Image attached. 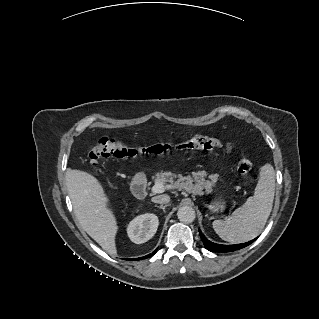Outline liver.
<instances>
[{"label": "liver", "instance_id": "obj_1", "mask_svg": "<svg viewBox=\"0 0 319 319\" xmlns=\"http://www.w3.org/2000/svg\"><path fill=\"white\" fill-rule=\"evenodd\" d=\"M67 187L81 227L103 250L117 254L118 225L113 211L108 208L109 198L100 182L87 172L70 170Z\"/></svg>", "mask_w": 319, "mask_h": 319}]
</instances>
